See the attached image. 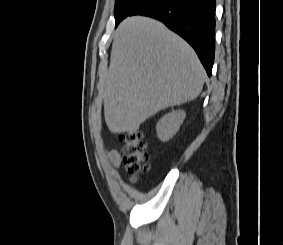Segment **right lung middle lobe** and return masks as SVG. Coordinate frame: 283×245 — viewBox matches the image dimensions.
Wrapping results in <instances>:
<instances>
[{
  "label": "right lung middle lobe",
  "mask_w": 283,
  "mask_h": 245,
  "mask_svg": "<svg viewBox=\"0 0 283 245\" xmlns=\"http://www.w3.org/2000/svg\"><path fill=\"white\" fill-rule=\"evenodd\" d=\"M145 1L146 0H116L114 13L115 26Z\"/></svg>",
  "instance_id": "dd1d6c3e"
}]
</instances>
